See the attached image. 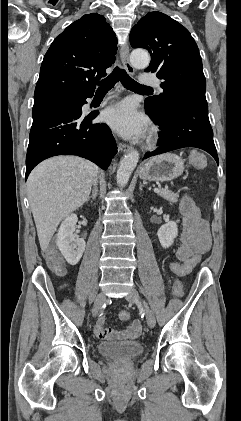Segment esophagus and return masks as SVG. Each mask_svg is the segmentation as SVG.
Instances as JSON below:
<instances>
[{"instance_id":"obj_1","label":"esophagus","mask_w":241,"mask_h":421,"mask_svg":"<svg viewBox=\"0 0 241 421\" xmlns=\"http://www.w3.org/2000/svg\"><path fill=\"white\" fill-rule=\"evenodd\" d=\"M120 58H121V61H122V64H123L125 70L130 75H134L135 69L129 61V46L127 44L121 47ZM119 150L122 151V152H129V151L132 150V146L124 144V143H120L119 144Z\"/></svg>"}]
</instances>
